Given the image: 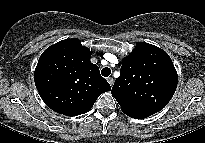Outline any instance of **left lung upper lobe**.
Instances as JSON below:
<instances>
[{
  "instance_id": "obj_1",
  "label": "left lung upper lobe",
  "mask_w": 205,
  "mask_h": 143,
  "mask_svg": "<svg viewBox=\"0 0 205 143\" xmlns=\"http://www.w3.org/2000/svg\"><path fill=\"white\" fill-rule=\"evenodd\" d=\"M177 82L169 55L154 45L138 42L123 59L111 93L126 115H152L168 104Z\"/></svg>"
}]
</instances>
